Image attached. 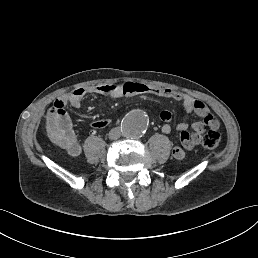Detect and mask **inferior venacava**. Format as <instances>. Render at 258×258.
Returning <instances> with one entry per match:
<instances>
[{"mask_svg":"<svg viewBox=\"0 0 258 258\" xmlns=\"http://www.w3.org/2000/svg\"><path fill=\"white\" fill-rule=\"evenodd\" d=\"M120 134H121V129H118V128H114L110 131L109 133V137L110 139H118L120 137Z\"/></svg>","mask_w":258,"mask_h":258,"instance_id":"1","label":"inferior vena cava"}]
</instances>
